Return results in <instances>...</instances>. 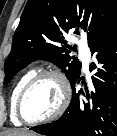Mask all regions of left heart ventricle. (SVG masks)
<instances>
[{
    "label": "left heart ventricle",
    "mask_w": 117,
    "mask_h": 136,
    "mask_svg": "<svg viewBox=\"0 0 117 136\" xmlns=\"http://www.w3.org/2000/svg\"><path fill=\"white\" fill-rule=\"evenodd\" d=\"M61 100V91L56 79L47 77L37 82L25 96L22 112L28 120L51 115Z\"/></svg>",
    "instance_id": "1"
}]
</instances>
